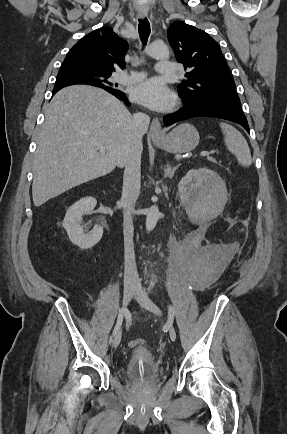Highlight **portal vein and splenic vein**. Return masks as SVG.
<instances>
[{"mask_svg": "<svg viewBox=\"0 0 287 434\" xmlns=\"http://www.w3.org/2000/svg\"><path fill=\"white\" fill-rule=\"evenodd\" d=\"M95 145L98 147V149L100 150V152H105V147L99 143H95ZM214 153V151L208 152V151H202L201 152V156H206L208 157L210 154Z\"/></svg>", "mask_w": 287, "mask_h": 434, "instance_id": "1", "label": "portal vein and splenic vein"}]
</instances>
